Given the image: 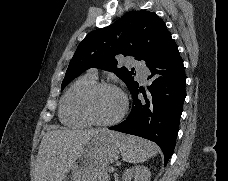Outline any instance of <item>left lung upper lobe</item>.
<instances>
[{
    "label": "left lung upper lobe",
    "instance_id": "obj_1",
    "mask_svg": "<svg viewBox=\"0 0 228 181\" xmlns=\"http://www.w3.org/2000/svg\"><path fill=\"white\" fill-rule=\"evenodd\" d=\"M169 37L165 23L155 13L130 11L114 24L84 38L69 63L61 89L85 70L96 67L114 72L130 90L137 84L134 68L130 71L118 67L116 56L129 55L146 62Z\"/></svg>",
    "mask_w": 228,
    "mask_h": 181
}]
</instances>
